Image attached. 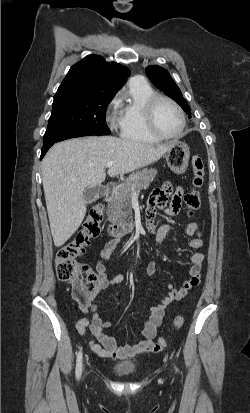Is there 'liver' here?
<instances>
[{
    "label": "liver",
    "mask_w": 250,
    "mask_h": 413,
    "mask_svg": "<svg viewBox=\"0 0 250 413\" xmlns=\"http://www.w3.org/2000/svg\"><path fill=\"white\" fill-rule=\"evenodd\" d=\"M172 143L151 145L114 136H89L55 144L42 161V182L54 245L61 247L86 214L84 192L110 177L132 172L159 160Z\"/></svg>",
    "instance_id": "6515ba94"
}]
</instances>
